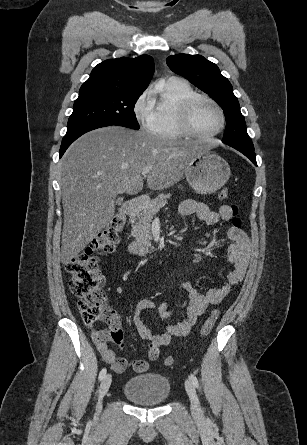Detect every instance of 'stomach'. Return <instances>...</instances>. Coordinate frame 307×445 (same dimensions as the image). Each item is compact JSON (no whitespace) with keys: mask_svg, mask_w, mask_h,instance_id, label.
<instances>
[{"mask_svg":"<svg viewBox=\"0 0 307 445\" xmlns=\"http://www.w3.org/2000/svg\"><path fill=\"white\" fill-rule=\"evenodd\" d=\"M231 174L230 166L213 150H203L188 164L185 176L188 184L198 194H212L226 184Z\"/></svg>","mask_w":307,"mask_h":445,"instance_id":"stomach-1","label":"stomach"}]
</instances>
